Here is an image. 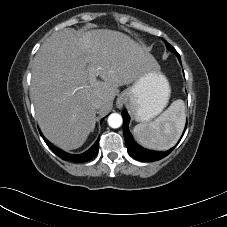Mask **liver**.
I'll list each match as a JSON object with an SVG mask.
<instances>
[{"instance_id":"liver-1","label":"liver","mask_w":227,"mask_h":227,"mask_svg":"<svg viewBox=\"0 0 227 227\" xmlns=\"http://www.w3.org/2000/svg\"><path fill=\"white\" fill-rule=\"evenodd\" d=\"M153 68H159L155 58L121 32L53 33L36 53L31 69L30 97L42 133L63 149L81 147L95 127L93 101L101 99L98 113L106 114L119 86Z\"/></svg>"}]
</instances>
